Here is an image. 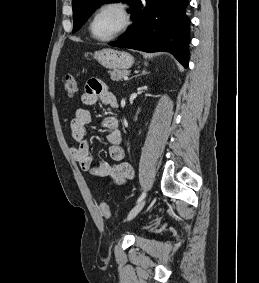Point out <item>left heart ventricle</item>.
<instances>
[{"mask_svg": "<svg viewBox=\"0 0 259 283\" xmlns=\"http://www.w3.org/2000/svg\"><path fill=\"white\" fill-rule=\"evenodd\" d=\"M123 24V16L115 8L106 9L94 20L92 31L96 37L105 38L114 34Z\"/></svg>", "mask_w": 259, "mask_h": 283, "instance_id": "b2bd125f", "label": "left heart ventricle"}]
</instances>
